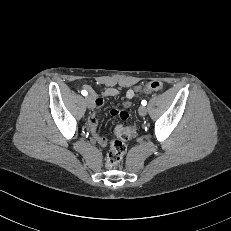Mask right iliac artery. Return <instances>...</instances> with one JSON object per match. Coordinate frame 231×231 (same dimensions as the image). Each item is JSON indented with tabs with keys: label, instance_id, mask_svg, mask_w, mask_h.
<instances>
[{
	"label": "right iliac artery",
	"instance_id": "1",
	"mask_svg": "<svg viewBox=\"0 0 231 231\" xmlns=\"http://www.w3.org/2000/svg\"><path fill=\"white\" fill-rule=\"evenodd\" d=\"M81 94H82L83 96H87L88 93H87L86 90H82V91H81Z\"/></svg>",
	"mask_w": 231,
	"mask_h": 231
}]
</instances>
